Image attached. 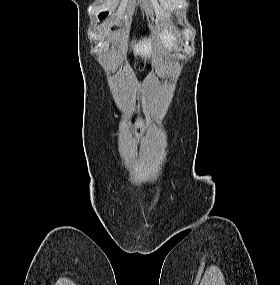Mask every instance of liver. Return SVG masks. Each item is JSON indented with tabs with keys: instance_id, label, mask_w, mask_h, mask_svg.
Masks as SVG:
<instances>
[{
	"instance_id": "liver-1",
	"label": "liver",
	"mask_w": 280,
	"mask_h": 285,
	"mask_svg": "<svg viewBox=\"0 0 280 285\" xmlns=\"http://www.w3.org/2000/svg\"><path fill=\"white\" fill-rule=\"evenodd\" d=\"M157 38L159 45H163L165 49H168L169 51H171L173 48L176 49V38L171 32L164 30L162 33L157 34ZM132 46L134 55L141 56L145 60L150 58L151 54H154L151 39H143L137 43L134 41Z\"/></svg>"
}]
</instances>
